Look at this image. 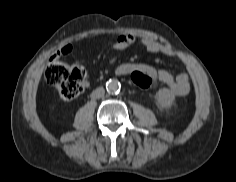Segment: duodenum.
<instances>
[{
  "label": "duodenum",
  "mask_w": 236,
  "mask_h": 182,
  "mask_svg": "<svg viewBox=\"0 0 236 182\" xmlns=\"http://www.w3.org/2000/svg\"><path fill=\"white\" fill-rule=\"evenodd\" d=\"M125 72H126V69H125V68H120V69H118L117 74H118V75H122V74H124Z\"/></svg>",
  "instance_id": "410a0bca"
}]
</instances>
